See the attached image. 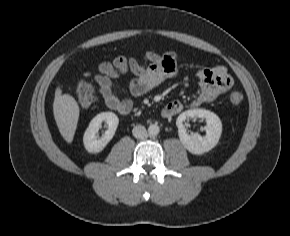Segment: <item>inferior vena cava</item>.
I'll return each instance as SVG.
<instances>
[{
    "label": "inferior vena cava",
    "mask_w": 290,
    "mask_h": 236,
    "mask_svg": "<svg viewBox=\"0 0 290 236\" xmlns=\"http://www.w3.org/2000/svg\"><path fill=\"white\" fill-rule=\"evenodd\" d=\"M132 133L135 138H143L147 135L146 128L142 125H136L133 128Z\"/></svg>",
    "instance_id": "obj_1"
}]
</instances>
